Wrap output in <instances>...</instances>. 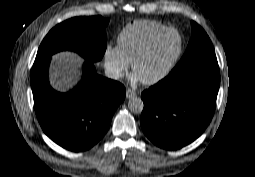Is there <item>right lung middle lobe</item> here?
I'll use <instances>...</instances> for the list:
<instances>
[{
    "label": "right lung middle lobe",
    "instance_id": "right-lung-middle-lobe-1",
    "mask_svg": "<svg viewBox=\"0 0 255 177\" xmlns=\"http://www.w3.org/2000/svg\"><path fill=\"white\" fill-rule=\"evenodd\" d=\"M109 19L101 16L75 17L55 26L42 41L36 59L72 50L86 60L102 59L106 50L105 27Z\"/></svg>",
    "mask_w": 255,
    "mask_h": 177
}]
</instances>
